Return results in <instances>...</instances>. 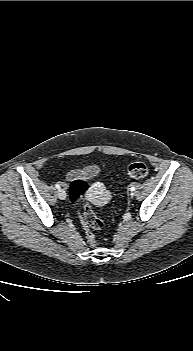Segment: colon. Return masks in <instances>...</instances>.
Instances as JSON below:
<instances>
[{"label":"colon","instance_id":"5ec220e1","mask_svg":"<svg viewBox=\"0 0 193 351\" xmlns=\"http://www.w3.org/2000/svg\"><path fill=\"white\" fill-rule=\"evenodd\" d=\"M148 174L149 169L147 165L142 162L133 163L129 165L127 169V175L135 179L145 178L148 176ZM88 189V184L81 179L73 180L68 186L70 197L77 207V212L86 237L90 244L95 245L96 240L93 230L102 229L104 227V223L95 215L90 203L86 200H82L83 195L88 191Z\"/></svg>","mask_w":193,"mask_h":351}]
</instances>
